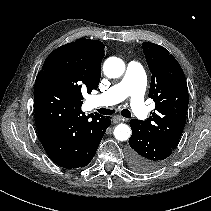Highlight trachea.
<instances>
[{
  "instance_id": "1",
  "label": "trachea",
  "mask_w": 211,
  "mask_h": 211,
  "mask_svg": "<svg viewBox=\"0 0 211 211\" xmlns=\"http://www.w3.org/2000/svg\"><path fill=\"white\" fill-rule=\"evenodd\" d=\"M114 112H115L114 110L101 108V114H103V115H111V114H113ZM121 115H122L123 117L130 118V117H131V112H130L128 109H123V110L121 111Z\"/></svg>"
}]
</instances>
